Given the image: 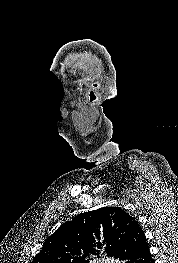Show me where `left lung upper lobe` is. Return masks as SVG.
Here are the masks:
<instances>
[{
    "mask_svg": "<svg viewBox=\"0 0 178 263\" xmlns=\"http://www.w3.org/2000/svg\"><path fill=\"white\" fill-rule=\"evenodd\" d=\"M133 219L119 207L77 215L45 240L32 263H91L100 250L114 257Z\"/></svg>",
    "mask_w": 178,
    "mask_h": 263,
    "instance_id": "5c2ea615",
    "label": "left lung upper lobe"
}]
</instances>
